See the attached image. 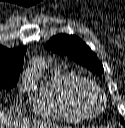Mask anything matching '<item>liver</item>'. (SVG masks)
<instances>
[{"label":"liver","mask_w":125,"mask_h":128,"mask_svg":"<svg viewBox=\"0 0 125 128\" xmlns=\"http://www.w3.org/2000/svg\"><path fill=\"white\" fill-rule=\"evenodd\" d=\"M10 123H11L10 118L0 113V128H5V126L9 125ZM34 127L35 128H59L58 126L55 127L50 124H43L40 122L34 124Z\"/></svg>","instance_id":"6515ba94"}]
</instances>
